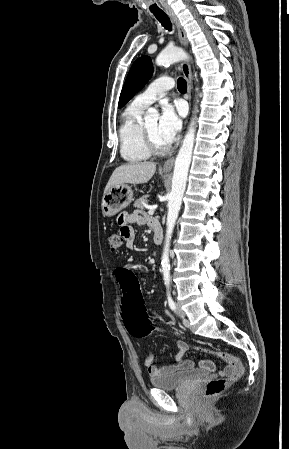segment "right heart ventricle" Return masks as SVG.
<instances>
[{
    "instance_id": "1",
    "label": "right heart ventricle",
    "mask_w": 289,
    "mask_h": 449,
    "mask_svg": "<svg viewBox=\"0 0 289 449\" xmlns=\"http://www.w3.org/2000/svg\"><path fill=\"white\" fill-rule=\"evenodd\" d=\"M144 108L130 104L122 114L119 127L120 153L130 162H137L149 158L143 134L141 116Z\"/></svg>"
}]
</instances>
